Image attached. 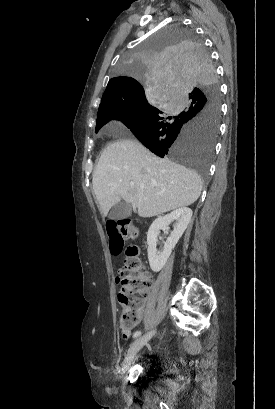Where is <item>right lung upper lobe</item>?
Instances as JSON below:
<instances>
[{
    "instance_id": "cb5924a9",
    "label": "right lung upper lobe",
    "mask_w": 275,
    "mask_h": 409,
    "mask_svg": "<svg viewBox=\"0 0 275 409\" xmlns=\"http://www.w3.org/2000/svg\"><path fill=\"white\" fill-rule=\"evenodd\" d=\"M135 96H145V90L137 80L129 79V77L112 78L103 94L98 112L108 109L124 99L134 98Z\"/></svg>"
}]
</instances>
